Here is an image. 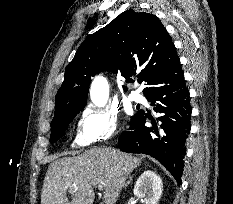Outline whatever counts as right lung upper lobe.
I'll return each instance as SVG.
<instances>
[{
	"label": "right lung upper lobe",
	"mask_w": 233,
	"mask_h": 204,
	"mask_svg": "<svg viewBox=\"0 0 233 204\" xmlns=\"http://www.w3.org/2000/svg\"><path fill=\"white\" fill-rule=\"evenodd\" d=\"M178 62L175 46L161 21L153 14L127 10L80 45L57 92L53 120L85 106L91 77L102 70L125 78L137 75L139 83L149 86Z\"/></svg>",
	"instance_id": "1"
}]
</instances>
